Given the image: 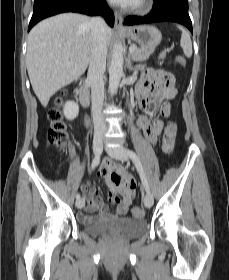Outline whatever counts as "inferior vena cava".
Masks as SVG:
<instances>
[{
    "mask_svg": "<svg viewBox=\"0 0 229 280\" xmlns=\"http://www.w3.org/2000/svg\"><path fill=\"white\" fill-rule=\"evenodd\" d=\"M90 27L93 41L87 81L91 85L94 134L101 136L106 130L101 112L104 101L103 79L107 56V45L105 41V30L107 26L102 17H93L90 19Z\"/></svg>",
    "mask_w": 229,
    "mask_h": 280,
    "instance_id": "inferior-vena-cava-1",
    "label": "inferior vena cava"
}]
</instances>
